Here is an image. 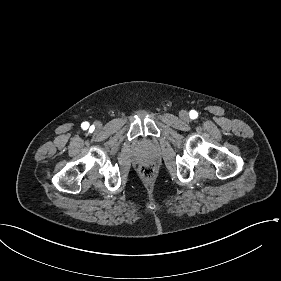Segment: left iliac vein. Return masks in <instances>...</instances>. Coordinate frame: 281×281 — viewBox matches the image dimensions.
<instances>
[{
    "instance_id": "obj_1",
    "label": "left iliac vein",
    "mask_w": 281,
    "mask_h": 281,
    "mask_svg": "<svg viewBox=\"0 0 281 281\" xmlns=\"http://www.w3.org/2000/svg\"><path fill=\"white\" fill-rule=\"evenodd\" d=\"M180 118L184 121L189 120V113L187 111L182 110L179 114Z\"/></svg>"
}]
</instances>
